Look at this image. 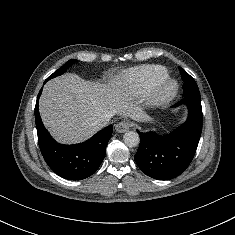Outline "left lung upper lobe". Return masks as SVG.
I'll list each match as a JSON object with an SVG mask.
<instances>
[{"label":"left lung upper lobe","mask_w":235,"mask_h":235,"mask_svg":"<svg viewBox=\"0 0 235 235\" xmlns=\"http://www.w3.org/2000/svg\"><path fill=\"white\" fill-rule=\"evenodd\" d=\"M180 74H181L184 82L189 81L191 83L190 85H191V87H193V94L195 96L200 97V92H199V89H198V86H197L195 80L182 68H180Z\"/></svg>","instance_id":"1"}]
</instances>
